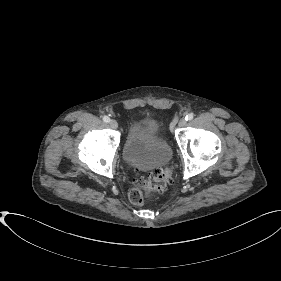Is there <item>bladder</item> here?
Listing matches in <instances>:
<instances>
[{
    "mask_svg": "<svg viewBox=\"0 0 281 281\" xmlns=\"http://www.w3.org/2000/svg\"><path fill=\"white\" fill-rule=\"evenodd\" d=\"M172 155L170 144L157 133V121L154 118L137 121L124 143L125 162L139 170L165 166L170 163Z\"/></svg>",
    "mask_w": 281,
    "mask_h": 281,
    "instance_id": "obj_1",
    "label": "bladder"
}]
</instances>
